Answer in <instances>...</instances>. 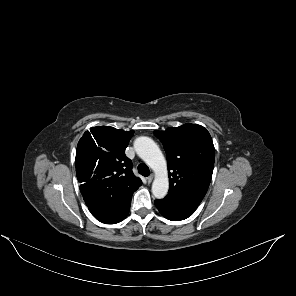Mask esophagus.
<instances>
[{
  "instance_id": "1",
  "label": "esophagus",
  "mask_w": 296,
  "mask_h": 296,
  "mask_svg": "<svg viewBox=\"0 0 296 296\" xmlns=\"http://www.w3.org/2000/svg\"><path fill=\"white\" fill-rule=\"evenodd\" d=\"M153 179H154V175L153 174H151L150 176H148L147 177L148 184H150L153 181Z\"/></svg>"
}]
</instances>
